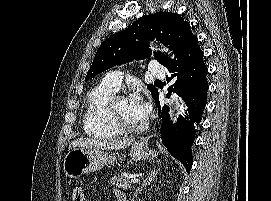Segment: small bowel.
Segmentation results:
<instances>
[{"instance_id": "obj_1", "label": "small bowel", "mask_w": 271, "mask_h": 201, "mask_svg": "<svg viewBox=\"0 0 271 201\" xmlns=\"http://www.w3.org/2000/svg\"><path fill=\"white\" fill-rule=\"evenodd\" d=\"M115 193L117 194V196H119L120 194H122L120 191H118L117 189H115Z\"/></svg>"}]
</instances>
